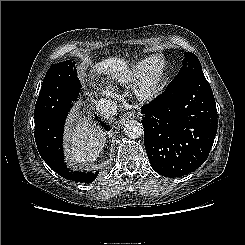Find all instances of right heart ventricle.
Returning a JSON list of instances; mask_svg holds the SVG:
<instances>
[{"instance_id": "obj_1", "label": "right heart ventricle", "mask_w": 245, "mask_h": 245, "mask_svg": "<svg viewBox=\"0 0 245 245\" xmlns=\"http://www.w3.org/2000/svg\"><path fill=\"white\" fill-rule=\"evenodd\" d=\"M149 58L150 57L143 58L133 65L116 73L114 76L115 81L122 85L135 83L143 73Z\"/></svg>"}]
</instances>
